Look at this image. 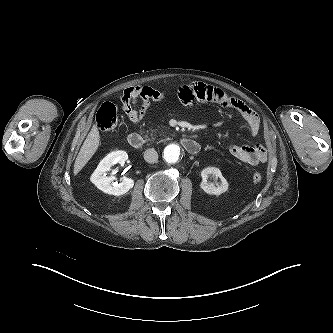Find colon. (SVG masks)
I'll list each match as a JSON object with an SVG mask.
<instances>
[{
  "label": "colon",
  "instance_id": "5ec220e1",
  "mask_svg": "<svg viewBox=\"0 0 333 333\" xmlns=\"http://www.w3.org/2000/svg\"><path fill=\"white\" fill-rule=\"evenodd\" d=\"M118 117L116 107L110 103H103L96 114V124L103 132H111L117 126ZM252 179L258 183L262 181V175L259 172L253 174Z\"/></svg>",
  "mask_w": 333,
  "mask_h": 333
}]
</instances>
